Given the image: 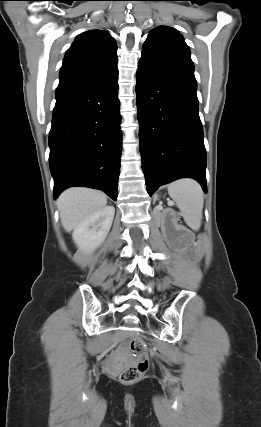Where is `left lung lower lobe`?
Returning a JSON list of instances; mask_svg holds the SVG:
<instances>
[{"mask_svg":"<svg viewBox=\"0 0 261 427\" xmlns=\"http://www.w3.org/2000/svg\"><path fill=\"white\" fill-rule=\"evenodd\" d=\"M140 152L147 192L176 179L207 193L206 151L194 72L141 55L136 74Z\"/></svg>","mask_w":261,"mask_h":427,"instance_id":"1","label":"left lung lower lobe"}]
</instances>
